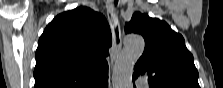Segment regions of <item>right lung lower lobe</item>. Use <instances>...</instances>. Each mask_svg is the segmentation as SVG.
<instances>
[{
    "mask_svg": "<svg viewBox=\"0 0 223 88\" xmlns=\"http://www.w3.org/2000/svg\"><path fill=\"white\" fill-rule=\"evenodd\" d=\"M107 80H108V77L105 78L104 80H101V81L97 82L95 84V87L94 88H106V86H107Z\"/></svg>",
    "mask_w": 223,
    "mask_h": 88,
    "instance_id": "1",
    "label": "right lung lower lobe"
}]
</instances>
